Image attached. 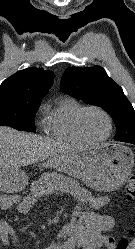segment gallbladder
Returning a JSON list of instances; mask_svg holds the SVG:
<instances>
[{
  "mask_svg": "<svg viewBox=\"0 0 135 249\" xmlns=\"http://www.w3.org/2000/svg\"><path fill=\"white\" fill-rule=\"evenodd\" d=\"M0 183L6 184V182L2 179H0Z\"/></svg>",
  "mask_w": 135,
  "mask_h": 249,
  "instance_id": "1",
  "label": "gallbladder"
}]
</instances>
